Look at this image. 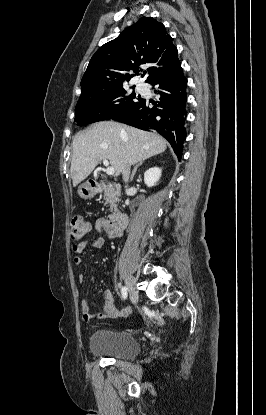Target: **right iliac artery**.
Returning a JSON list of instances; mask_svg holds the SVG:
<instances>
[{"label": "right iliac artery", "mask_w": 266, "mask_h": 415, "mask_svg": "<svg viewBox=\"0 0 266 415\" xmlns=\"http://www.w3.org/2000/svg\"><path fill=\"white\" fill-rule=\"evenodd\" d=\"M121 293H122V297H123V299H126V298H127V296H128V288H126V287H122V288H121Z\"/></svg>", "instance_id": "obj_1"}]
</instances>
